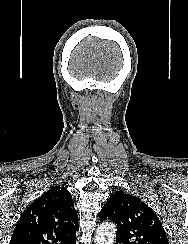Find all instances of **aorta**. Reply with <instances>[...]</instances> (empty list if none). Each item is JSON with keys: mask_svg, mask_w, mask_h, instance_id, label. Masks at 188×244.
I'll use <instances>...</instances> for the list:
<instances>
[{"mask_svg": "<svg viewBox=\"0 0 188 244\" xmlns=\"http://www.w3.org/2000/svg\"><path fill=\"white\" fill-rule=\"evenodd\" d=\"M116 233L115 224L112 222L102 223L96 231V243L97 244H113Z\"/></svg>", "mask_w": 188, "mask_h": 244, "instance_id": "aorta-1", "label": "aorta"}]
</instances>
